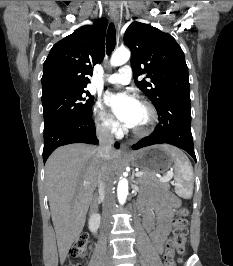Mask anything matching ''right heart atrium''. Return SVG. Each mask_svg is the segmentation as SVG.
I'll use <instances>...</instances> for the list:
<instances>
[{"label":"right heart atrium","instance_id":"1","mask_svg":"<svg viewBox=\"0 0 233 266\" xmlns=\"http://www.w3.org/2000/svg\"><path fill=\"white\" fill-rule=\"evenodd\" d=\"M95 123L97 129L106 135H115L120 130L119 124L105 109L101 101H98L95 106Z\"/></svg>","mask_w":233,"mask_h":266}]
</instances>
